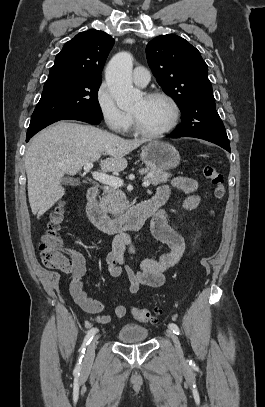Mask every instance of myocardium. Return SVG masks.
I'll list each match as a JSON object with an SVG mask.
<instances>
[{"label": "myocardium", "instance_id": "f54148a6", "mask_svg": "<svg viewBox=\"0 0 265 407\" xmlns=\"http://www.w3.org/2000/svg\"><path fill=\"white\" fill-rule=\"evenodd\" d=\"M143 97L147 100H152V99H163L167 101L170 106L172 107L173 110V118L170 124L159 131H147L144 130L138 123L136 117L131 114V123H132V128L134 132L144 138H160L164 137L168 134H170L179 124L180 118H181V109L178 104V102L175 100L174 97H172L170 94L163 92V91H153V92H148L143 95Z\"/></svg>", "mask_w": 265, "mask_h": 407}]
</instances>
